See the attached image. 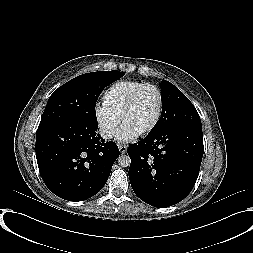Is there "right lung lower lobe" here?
<instances>
[{"mask_svg": "<svg viewBox=\"0 0 253 253\" xmlns=\"http://www.w3.org/2000/svg\"><path fill=\"white\" fill-rule=\"evenodd\" d=\"M98 126L68 122L36 133V158L40 175L55 195L82 201L105 185L119 149L96 133Z\"/></svg>", "mask_w": 253, "mask_h": 253, "instance_id": "98d812e1", "label": "right lung lower lobe"}]
</instances>
